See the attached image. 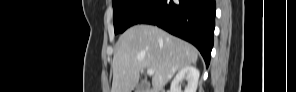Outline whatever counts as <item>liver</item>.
I'll use <instances>...</instances> for the list:
<instances>
[{"instance_id": "6515ba94", "label": "liver", "mask_w": 296, "mask_h": 92, "mask_svg": "<svg viewBox=\"0 0 296 92\" xmlns=\"http://www.w3.org/2000/svg\"><path fill=\"white\" fill-rule=\"evenodd\" d=\"M198 54L193 45L158 27L135 25L116 44L111 92H131L146 68L154 70V92H161L176 71L197 62Z\"/></svg>"}]
</instances>
